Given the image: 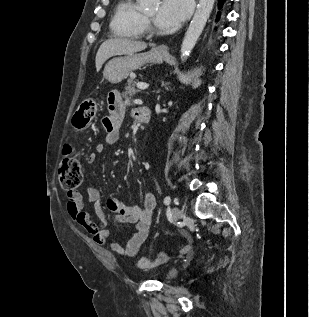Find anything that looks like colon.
Listing matches in <instances>:
<instances>
[{
	"label": "colon",
	"instance_id": "1",
	"mask_svg": "<svg viewBox=\"0 0 309 317\" xmlns=\"http://www.w3.org/2000/svg\"><path fill=\"white\" fill-rule=\"evenodd\" d=\"M97 112V103L93 99H87L81 103L74 114L73 124L77 129L85 128ZM70 147L65 150V157L63 158L59 170L58 178L61 186L67 191H74L82 183V169L79 160L70 155ZM189 246L186 250H190ZM141 264L145 267L154 265L152 259H142Z\"/></svg>",
	"mask_w": 309,
	"mask_h": 317
}]
</instances>
